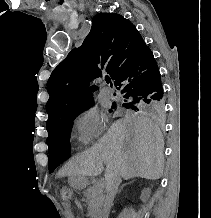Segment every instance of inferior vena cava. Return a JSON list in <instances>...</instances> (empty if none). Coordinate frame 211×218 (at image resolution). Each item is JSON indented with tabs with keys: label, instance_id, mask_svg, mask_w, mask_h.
<instances>
[{
	"label": "inferior vena cava",
	"instance_id": "1",
	"mask_svg": "<svg viewBox=\"0 0 211 218\" xmlns=\"http://www.w3.org/2000/svg\"><path fill=\"white\" fill-rule=\"evenodd\" d=\"M106 180V198L104 204L105 212H108L118 190V186L121 182L120 176H116V174H112V172H106L105 174Z\"/></svg>",
	"mask_w": 211,
	"mask_h": 218
}]
</instances>
